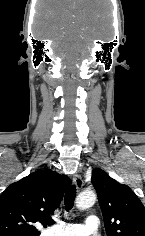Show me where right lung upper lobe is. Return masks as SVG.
Wrapping results in <instances>:
<instances>
[{"label": "right lung upper lobe", "instance_id": "right-lung-upper-lobe-1", "mask_svg": "<svg viewBox=\"0 0 145 236\" xmlns=\"http://www.w3.org/2000/svg\"><path fill=\"white\" fill-rule=\"evenodd\" d=\"M70 183L67 176L46 169L11 184L0 195V236H39L34 224H54L51 214Z\"/></svg>", "mask_w": 145, "mask_h": 236}]
</instances>
